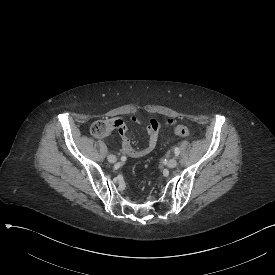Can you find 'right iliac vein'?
Here are the masks:
<instances>
[{
	"label": "right iliac vein",
	"mask_w": 275,
	"mask_h": 275,
	"mask_svg": "<svg viewBox=\"0 0 275 275\" xmlns=\"http://www.w3.org/2000/svg\"><path fill=\"white\" fill-rule=\"evenodd\" d=\"M116 160H117V158L113 154L108 155V161L110 163H115Z\"/></svg>",
	"instance_id": "1"
}]
</instances>
